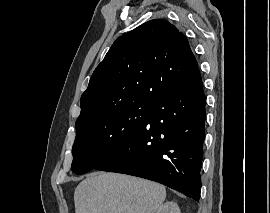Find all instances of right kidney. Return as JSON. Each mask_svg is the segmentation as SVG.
<instances>
[{
	"instance_id": "right-kidney-1",
	"label": "right kidney",
	"mask_w": 270,
	"mask_h": 213,
	"mask_svg": "<svg viewBox=\"0 0 270 213\" xmlns=\"http://www.w3.org/2000/svg\"><path fill=\"white\" fill-rule=\"evenodd\" d=\"M156 213H181V212L179 206L175 202L169 201L162 204L158 208Z\"/></svg>"
}]
</instances>
